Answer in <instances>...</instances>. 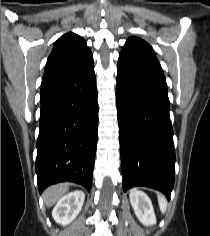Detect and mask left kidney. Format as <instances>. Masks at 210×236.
<instances>
[{
	"label": "left kidney",
	"instance_id": "5707ae66",
	"mask_svg": "<svg viewBox=\"0 0 210 236\" xmlns=\"http://www.w3.org/2000/svg\"><path fill=\"white\" fill-rule=\"evenodd\" d=\"M129 197L139 221L146 226L156 224V217L149 197L144 192L137 189H132Z\"/></svg>",
	"mask_w": 210,
	"mask_h": 236
}]
</instances>
